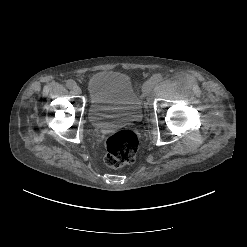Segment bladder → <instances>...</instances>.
I'll list each match as a JSON object with an SVG mask.
<instances>
[{
    "label": "bladder",
    "mask_w": 247,
    "mask_h": 247,
    "mask_svg": "<svg viewBox=\"0 0 247 247\" xmlns=\"http://www.w3.org/2000/svg\"><path fill=\"white\" fill-rule=\"evenodd\" d=\"M90 122L108 129L135 122L141 113V101L130 78L120 72L101 71L88 80Z\"/></svg>",
    "instance_id": "31cf9c89"
}]
</instances>
